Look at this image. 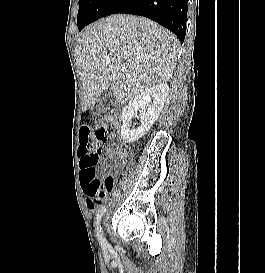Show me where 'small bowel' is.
Listing matches in <instances>:
<instances>
[{
    "label": "small bowel",
    "mask_w": 265,
    "mask_h": 273,
    "mask_svg": "<svg viewBox=\"0 0 265 273\" xmlns=\"http://www.w3.org/2000/svg\"><path fill=\"white\" fill-rule=\"evenodd\" d=\"M80 129H95V124H80ZM116 155L118 157H122L124 155V151L119 149L116 151ZM86 198L88 201V208L90 210L94 209L95 206H98L105 199V197L94 196L91 194H86Z\"/></svg>",
    "instance_id": "c3829d8e"
}]
</instances>
